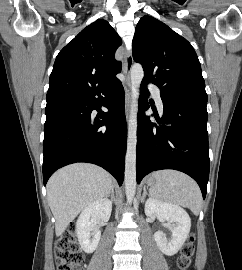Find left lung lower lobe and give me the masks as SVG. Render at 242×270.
I'll return each instance as SVG.
<instances>
[{
    "mask_svg": "<svg viewBox=\"0 0 242 270\" xmlns=\"http://www.w3.org/2000/svg\"><path fill=\"white\" fill-rule=\"evenodd\" d=\"M148 81L140 88L137 129V183L148 173L175 169L191 176L200 186L203 199L207 191L210 160L207 132V102L180 100L171 102L161 95L163 117L154 112V124L145 111L149 108ZM154 110V109H153Z\"/></svg>",
    "mask_w": 242,
    "mask_h": 270,
    "instance_id": "0a47b994",
    "label": "left lung lower lobe"
}]
</instances>
